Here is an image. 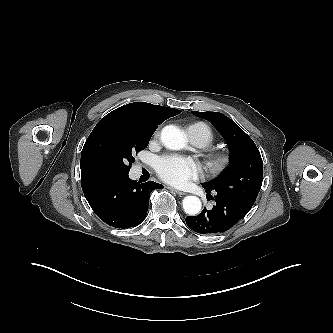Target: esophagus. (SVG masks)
<instances>
[{
    "label": "esophagus",
    "instance_id": "34e87169",
    "mask_svg": "<svg viewBox=\"0 0 333 333\" xmlns=\"http://www.w3.org/2000/svg\"><path fill=\"white\" fill-rule=\"evenodd\" d=\"M168 189L171 190V191H173V192H175V193H177L178 195H186L185 192L180 191V190H177V189L174 188V187L169 186Z\"/></svg>",
    "mask_w": 333,
    "mask_h": 333
}]
</instances>
